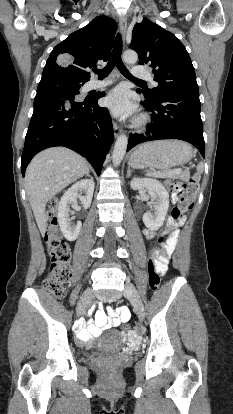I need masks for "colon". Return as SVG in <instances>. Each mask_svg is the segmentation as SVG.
I'll return each mask as SVG.
<instances>
[{
    "mask_svg": "<svg viewBox=\"0 0 233 414\" xmlns=\"http://www.w3.org/2000/svg\"><path fill=\"white\" fill-rule=\"evenodd\" d=\"M168 187L173 192L176 206L172 209L171 218L174 221H180L184 215L193 207L195 203L196 193L199 187V177L194 174L185 183L169 182ZM58 204L55 200L48 205V225L45 232V242L47 244L48 253L52 260L50 272L44 281V287L53 296L59 298L65 291V286L70 282L72 277V270L69 266L70 261V247L69 244L62 237L58 228ZM165 238L160 237L157 241L156 247L151 251L148 262V278L152 289H156L159 285V275L155 269V262L160 258L164 252L160 248L163 247ZM123 331L130 332L128 325H123Z\"/></svg>",
    "mask_w": 233,
    "mask_h": 414,
    "instance_id": "colon-1",
    "label": "colon"
}]
</instances>
